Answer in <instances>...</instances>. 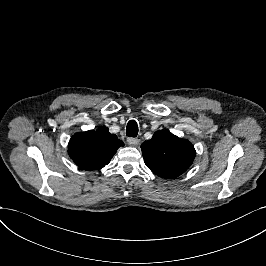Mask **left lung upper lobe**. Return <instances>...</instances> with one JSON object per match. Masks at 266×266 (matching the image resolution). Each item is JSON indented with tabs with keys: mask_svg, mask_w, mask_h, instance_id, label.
<instances>
[{
	"mask_svg": "<svg viewBox=\"0 0 266 266\" xmlns=\"http://www.w3.org/2000/svg\"><path fill=\"white\" fill-rule=\"evenodd\" d=\"M146 166L163 178H176L192 164L196 151L186 139L168 130L156 131L151 140L141 145Z\"/></svg>",
	"mask_w": 266,
	"mask_h": 266,
	"instance_id": "obj_1",
	"label": "left lung upper lobe"
}]
</instances>
